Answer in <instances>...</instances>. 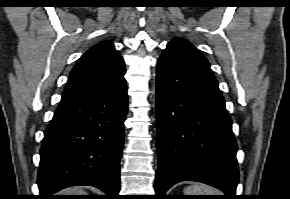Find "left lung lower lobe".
Listing matches in <instances>:
<instances>
[{
  "label": "left lung lower lobe",
  "mask_w": 290,
  "mask_h": 199,
  "mask_svg": "<svg viewBox=\"0 0 290 199\" xmlns=\"http://www.w3.org/2000/svg\"><path fill=\"white\" fill-rule=\"evenodd\" d=\"M158 171L156 193L196 181L236 199L237 144L213 74L165 51L157 63Z\"/></svg>",
  "instance_id": "obj_1"
}]
</instances>
